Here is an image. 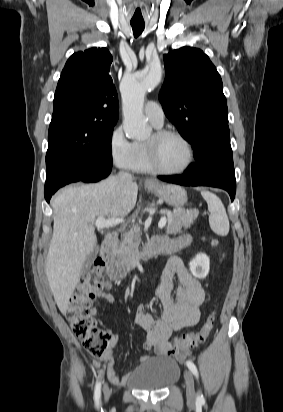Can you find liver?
<instances>
[{"instance_id": "obj_1", "label": "liver", "mask_w": 283, "mask_h": 412, "mask_svg": "<svg viewBox=\"0 0 283 412\" xmlns=\"http://www.w3.org/2000/svg\"><path fill=\"white\" fill-rule=\"evenodd\" d=\"M137 193L131 176L118 175L97 184L67 187L53 198L54 225L46 276L62 313L80 280L84 261L97 244L94 222L127 216L136 205Z\"/></svg>"}]
</instances>
